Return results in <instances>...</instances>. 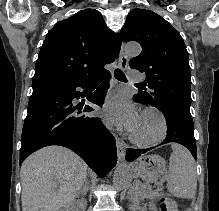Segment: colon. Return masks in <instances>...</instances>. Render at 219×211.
<instances>
[{
    "mask_svg": "<svg viewBox=\"0 0 219 211\" xmlns=\"http://www.w3.org/2000/svg\"><path fill=\"white\" fill-rule=\"evenodd\" d=\"M161 211H178L177 203L168 197H161L159 200Z\"/></svg>",
    "mask_w": 219,
    "mask_h": 211,
    "instance_id": "1",
    "label": "colon"
}]
</instances>
